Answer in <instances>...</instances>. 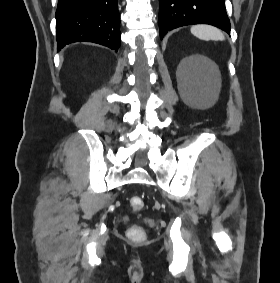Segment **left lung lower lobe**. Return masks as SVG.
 <instances>
[{"label": "left lung lower lobe", "mask_w": 280, "mask_h": 283, "mask_svg": "<svg viewBox=\"0 0 280 283\" xmlns=\"http://www.w3.org/2000/svg\"><path fill=\"white\" fill-rule=\"evenodd\" d=\"M210 24L230 34L224 0H159L160 37L177 27Z\"/></svg>", "instance_id": "0a47b994"}]
</instances>
